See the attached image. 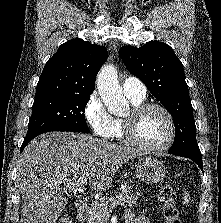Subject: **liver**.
<instances>
[{
  "mask_svg": "<svg viewBox=\"0 0 221 223\" xmlns=\"http://www.w3.org/2000/svg\"><path fill=\"white\" fill-rule=\"evenodd\" d=\"M140 154L135 148L87 134L49 132L37 136L17 163L21 223H56L67 205L61 184L83 181L97 191L105 190L119 167Z\"/></svg>",
  "mask_w": 221,
  "mask_h": 223,
  "instance_id": "obj_1",
  "label": "liver"
}]
</instances>
